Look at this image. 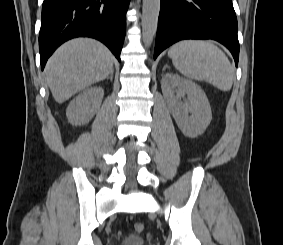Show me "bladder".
<instances>
[{"label":"bladder","instance_id":"obj_1","mask_svg":"<svg viewBox=\"0 0 283 245\" xmlns=\"http://www.w3.org/2000/svg\"><path fill=\"white\" fill-rule=\"evenodd\" d=\"M121 245H146V240L140 235H130L121 242Z\"/></svg>","mask_w":283,"mask_h":245}]
</instances>
